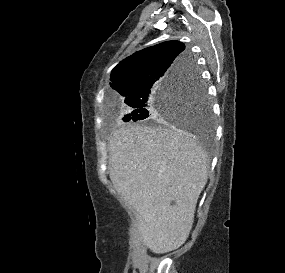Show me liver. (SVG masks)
I'll use <instances>...</instances> for the list:
<instances>
[{
  "label": "liver",
  "instance_id": "1",
  "mask_svg": "<svg viewBox=\"0 0 285 273\" xmlns=\"http://www.w3.org/2000/svg\"><path fill=\"white\" fill-rule=\"evenodd\" d=\"M110 154L109 177L142 217L144 244L156 254L178 249L207 183V154L174 128L130 124L112 133Z\"/></svg>",
  "mask_w": 285,
  "mask_h": 273
}]
</instances>
